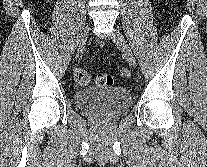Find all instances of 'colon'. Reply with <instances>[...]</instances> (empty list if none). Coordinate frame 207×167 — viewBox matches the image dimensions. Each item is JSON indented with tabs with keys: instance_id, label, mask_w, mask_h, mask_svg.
<instances>
[{
	"instance_id": "5ec220e1",
	"label": "colon",
	"mask_w": 207,
	"mask_h": 167,
	"mask_svg": "<svg viewBox=\"0 0 207 167\" xmlns=\"http://www.w3.org/2000/svg\"><path fill=\"white\" fill-rule=\"evenodd\" d=\"M120 75L122 78L128 79L131 76V72L128 68H122ZM74 80L79 85H87L90 81V75L86 69L77 68L74 72ZM95 81L100 87H110L114 84V78L109 74H99Z\"/></svg>"
}]
</instances>
